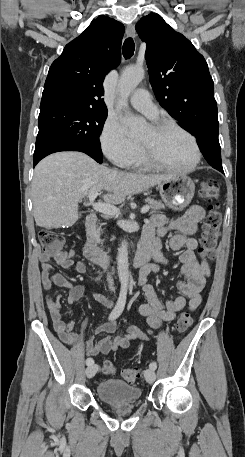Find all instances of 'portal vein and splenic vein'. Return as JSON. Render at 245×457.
I'll return each instance as SVG.
<instances>
[{
	"instance_id": "18ae733b",
	"label": "portal vein and splenic vein",
	"mask_w": 245,
	"mask_h": 457,
	"mask_svg": "<svg viewBox=\"0 0 245 457\" xmlns=\"http://www.w3.org/2000/svg\"><path fill=\"white\" fill-rule=\"evenodd\" d=\"M98 194L99 192H97V190H95V192H89L88 194L94 210H99V212H104V214H120V208L115 206V204H109V202H94ZM149 208V204H146V206H142L141 212H148Z\"/></svg>"
}]
</instances>
